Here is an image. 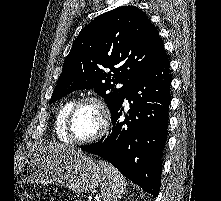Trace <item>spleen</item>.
Returning a JSON list of instances; mask_svg holds the SVG:
<instances>
[{
  "mask_svg": "<svg viewBox=\"0 0 221 201\" xmlns=\"http://www.w3.org/2000/svg\"><path fill=\"white\" fill-rule=\"evenodd\" d=\"M99 165L103 168L107 184L102 189L103 201H117L125 192L126 181L123 175L111 164L100 160Z\"/></svg>",
  "mask_w": 221,
  "mask_h": 201,
  "instance_id": "spleen-1",
  "label": "spleen"
}]
</instances>
